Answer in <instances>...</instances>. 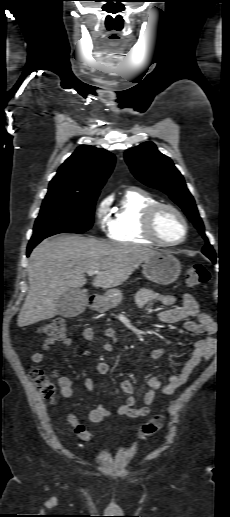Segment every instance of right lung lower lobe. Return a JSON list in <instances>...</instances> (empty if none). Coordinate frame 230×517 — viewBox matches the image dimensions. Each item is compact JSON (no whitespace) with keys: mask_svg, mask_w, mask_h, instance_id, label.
I'll list each match as a JSON object with an SVG mask.
<instances>
[{"mask_svg":"<svg viewBox=\"0 0 230 517\" xmlns=\"http://www.w3.org/2000/svg\"><path fill=\"white\" fill-rule=\"evenodd\" d=\"M42 240H38V241H30L29 244H28V247H27V256H29L31 250L39 243L41 242Z\"/></svg>","mask_w":230,"mask_h":517,"instance_id":"right-lung-lower-lobe-1","label":"right lung lower lobe"}]
</instances>
